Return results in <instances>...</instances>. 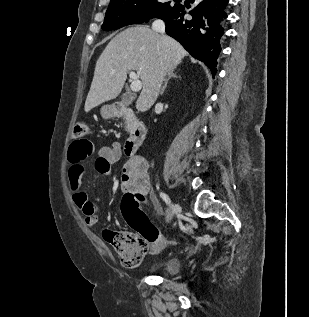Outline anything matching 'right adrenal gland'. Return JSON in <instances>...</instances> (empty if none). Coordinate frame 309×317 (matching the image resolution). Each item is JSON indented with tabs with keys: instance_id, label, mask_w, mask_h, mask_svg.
I'll return each instance as SVG.
<instances>
[{
	"instance_id": "2a0ac1e0",
	"label": "right adrenal gland",
	"mask_w": 309,
	"mask_h": 317,
	"mask_svg": "<svg viewBox=\"0 0 309 317\" xmlns=\"http://www.w3.org/2000/svg\"><path fill=\"white\" fill-rule=\"evenodd\" d=\"M174 69L170 70L167 74V78L165 79V82H164V85L163 87L161 88V91H160V94L162 95L165 91V88L167 87V84H168V81L171 79V78H177L176 74L174 73Z\"/></svg>"
}]
</instances>
